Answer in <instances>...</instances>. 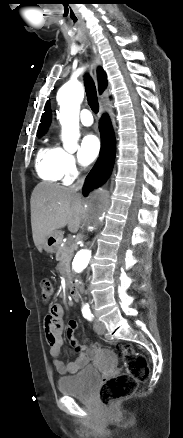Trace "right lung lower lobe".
Here are the masks:
<instances>
[{
  "instance_id": "98d812e1",
  "label": "right lung lower lobe",
  "mask_w": 183,
  "mask_h": 438,
  "mask_svg": "<svg viewBox=\"0 0 183 438\" xmlns=\"http://www.w3.org/2000/svg\"><path fill=\"white\" fill-rule=\"evenodd\" d=\"M100 133L102 140L100 157L86 178L83 187L84 196H87L91 190L101 186L108 179L113 168L115 158V137L111 121L106 115L103 116L100 121Z\"/></svg>"
}]
</instances>
